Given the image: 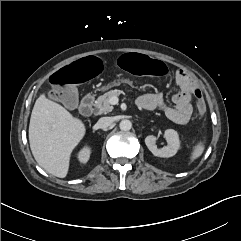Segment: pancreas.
<instances>
[{"mask_svg": "<svg viewBox=\"0 0 241 241\" xmlns=\"http://www.w3.org/2000/svg\"><path fill=\"white\" fill-rule=\"evenodd\" d=\"M122 93V90H110L97 98L94 103V107L99 114H106L108 112H111L113 110V106L109 102L110 98L113 96H119Z\"/></svg>", "mask_w": 241, "mask_h": 241, "instance_id": "1", "label": "pancreas"}]
</instances>
